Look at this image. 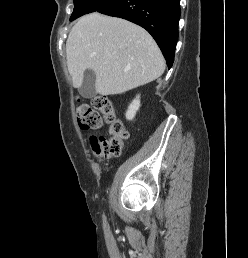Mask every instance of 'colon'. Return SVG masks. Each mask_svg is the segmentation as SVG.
Returning a JSON list of instances; mask_svg holds the SVG:
<instances>
[{"mask_svg": "<svg viewBox=\"0 0 248 258\" xmlns=\"http://www.w3.org/2000/svg\"><path fill=\"white\" fill-rule=\"evenodd\" d=\"M78 124L84 129H99L105 122L109 135L92 137L94 154L100 158L117 157L121 154L128 132L116 117L113 103L104 97H94L91 105L78 102L76 105Z\"/></svg>", "mask_w": 248, "mask_h": 258, "instance_id": "colon-1", "label": "colon"}]
</instances>
